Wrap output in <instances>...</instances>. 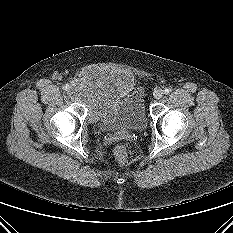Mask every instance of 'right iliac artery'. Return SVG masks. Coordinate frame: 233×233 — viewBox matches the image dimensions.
<instances>
[{
	"label": "right iliac artery",
	"mask_w": 233,
	"mask_h": 233,
	"mask_svg": "<svg viewBox=\"0 0 233 233\" xmlns=\"http://www.w3.org/2000/svg\"><path fill=\"white\" fill-rule=\"evenodd\" d=\"M68 89H69V85L68 84H66V85L63 86V90H68Z\"/></svg>",
	"instance_id": "82829eb1"
}]
</instances>
